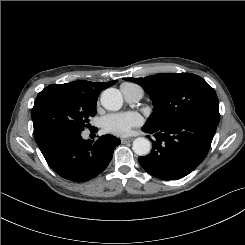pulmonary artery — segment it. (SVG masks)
Masks as SVG:
<instances>
[{"mask_svg": "<svg viewBox=\"0 0 245 245\" xmlns=\"http://www.w3.org/2000/svg\"><path fill=\"white\" fill-rule=\"evenodd\" d=\"M121 91L124 95L125 100L130 103L138 102L143 96V91L138 86H133L127 89H123Z\"/></svg>", "mask_w": 245, "mask_h": 245, "instance_id": "1", "label": "pulmonary artery"}]
</instances>
